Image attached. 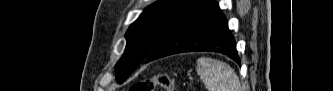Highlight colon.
<instances>
[{
  "mask_svg": "<svg viewBox=\"0 0 333 91\" xmlns=\"http://www.w3.org/2000/svg\"><path fill=\"white\" fill-rule=\"evenodd\" d=\"M156 87H160L165 91L176 90L173 79L168 74L161 73L150 79L142 80L133 84L130 91H154Z\"/></svg>",
  "mask_w": 333,
  "mask_h": 91,
  "instance_id": "colon-1",
  "label": "colon"
}]
</instances>
